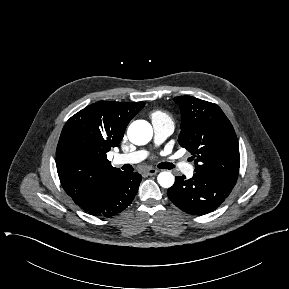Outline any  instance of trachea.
<instances>
[{
	"label": "trachea",
	"mask_w": 289,
	"mask_h": 289,
	"mask_svg": "<svg viewBox=\"0 0 289 289\" xmlns=\"http://www.w3.org/2000/svg\"><path fill=\"white\" fill-rule=\"evenodd\" d=\"M164 168H166V169H173L174 168V165L172 164V163H165L164 164Z\"/></svg>",
	"instance_id": "trachea-1"
}]
</instances>
